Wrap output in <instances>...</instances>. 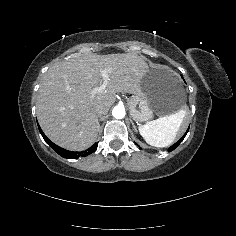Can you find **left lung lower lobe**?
I'll return each instance as SVG.
<instances>
[{
    "label": "left lung lower lobe",
    "instance_id": "1",
    "mask_svg": "<svg viewBox=\"0 0 236 236\" xmlns=\"http://www.w3.org/2000/svg\"><path fill=\"white\" fill-rule=\"evenodd\" d=\"M189 131V128L188 130L186 131V133L182 136L181 139H179L175 144H173L171 147L168 148V151L171 152L173 151L174 149H176L178 147V145L182 142V140L185 138L186 134L188 133ZM137 145V144H136ZM138 146V145H137Z\"/></svg>",
    "mask_w": 236,
    "mask_h": 236
}]
</instances>
